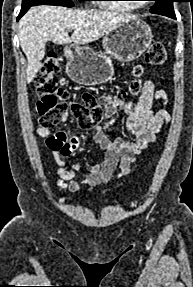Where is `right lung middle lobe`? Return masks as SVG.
I'll return each mask as SVG.
<instances>
[{
	"label": "right lung middle lobe",
	"mask_w": 193,
	"mask_h": 287,
	"mask_svg": "<svg viewBox=\"0 0 193 287\" xmlns=\"http://www.w3.org/2000/svg\"><path fill=\"white\" fill-rule=\"evenodd\" d=\"M79 1H90V0H79ZM36 5H55L65 7L74 6L71 0H22V7H32Z\"/></svg>",
	"instance_id": "obj_1"
}]
</instances>
